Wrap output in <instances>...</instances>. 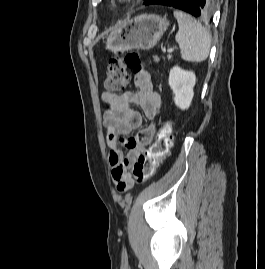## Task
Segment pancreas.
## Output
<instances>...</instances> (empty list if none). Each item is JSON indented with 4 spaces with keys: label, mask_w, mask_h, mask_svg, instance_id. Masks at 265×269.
<instances>
[{
    "label": "pancreas",
    "mask_w": 265,
    "mask_h": 269,
    "mask_svg": "<svg viewBox=\"0 0 265 269\" xmlns=\"http://www.w3.org/2000/svg\"><path fill=\"white\" fill-rule=\"evenodd\" d=\"M172 58V55H167V59L170 60ZM163 59L165 60V58L163 57ZM154 61L158 62L159 61V57L158 56H154Z\"/></svg>",
    "instance_id": "obj_1"
}]
</instances>
